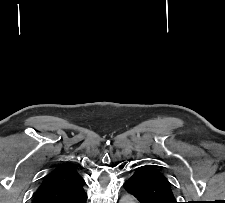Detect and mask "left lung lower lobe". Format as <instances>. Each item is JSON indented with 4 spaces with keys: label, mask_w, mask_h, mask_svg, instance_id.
Returning <instances> with one entry per match:
<instances>
[{
    "label": "left lung lower lobe",
    "mask_w": 225,
    "mask_h": 203,
    "mask_svg": "<svg viewBox=\"0 0 225 203\" xmlns=\"http://www.w3.org/2000/svg\"><path fill=\"white\" fill-rule=\"evenodd\" d=\"M123 187L125 188V190H126L129 194L133 195V196L137 199V201H138L139 203H151V202L146 201L145 199H143V198L140 196V194L138 193L137 189L130 183L129 180H127V181L124 183Z\"/></svg>",
    "instance_id": "obj_1"
}]
</instances>
